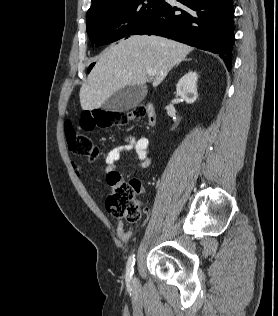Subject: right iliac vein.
<instances>
[{"mask_svg":"<svg viewBox=\"0 0 278 316\" xmlns=\"http://www.w3.org/2000/svg\"><path fill=\"white\" fill-rule=\"evenodd\" d=\"M132 283H133V285H136V283H137L136 278H133V279H132Z\"/></svg>","mask_w":278,"mask_h":316,"instance_id":"right-iliac-vein-1","label":"right iliac vein"}]
</instances>
